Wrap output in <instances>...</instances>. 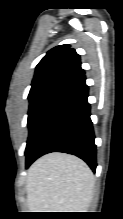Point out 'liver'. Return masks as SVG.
Returning a JSON list of instances; mask_svg holds the SVG:
<instances>
[{
    "mask_svg": "<svg viewBox=\"0 0 123 219\" xmlns=\"http://www.w3.org/2000/svg\"><path fill=\"white\" fill-rule=\"evenodd\" d=\"M93 189V173L83 160L53 152L28 170L27 206L31 212H87Z\"/></svg>",
    "mask_w": 123,
    "mask_h": 219,
    "instance_id": "liver-1",
    "label": "liver"
}]
</instances>
